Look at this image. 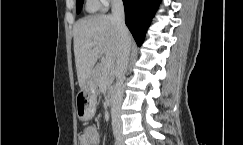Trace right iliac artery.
Wrapping results in <instances>:
<instances>
[{"instance_id": "obj_1", "label": "right iliac artery", "mask_w": 243, "mask_h": 145, "mask_svg": "<svg viewBox=\"0 0 243 145\" xmlns=\"http://www.w3.org/2000/svg\"><path fill=\"white\" fill-rule=\"evenodd\" d=\"M115 145H120L119 141H115Z\"/></svg>"}]
</instances>
